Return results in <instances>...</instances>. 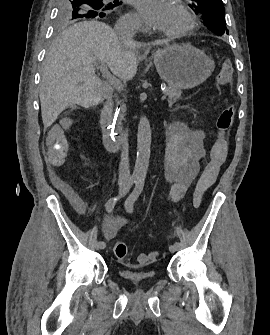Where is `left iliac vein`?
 Returning <instances> with one entry per match:
<instances>
[{"label":"left iliac vein","mask_w":270,"mask_h":335,"mask_svg":"<svg viewBox=\"0 0 270 335\" xmlns=\"http://www.w3.org/2000/svg\"><path fill=\"white\" fill-rule=\"evenodd\" d=\"M169 251H170L171 253H174V252L177 251V248H176L174 245H170V246H169Z\"/></svg>","instance_id":"left-iliac-vein-1"}]
</instances>
